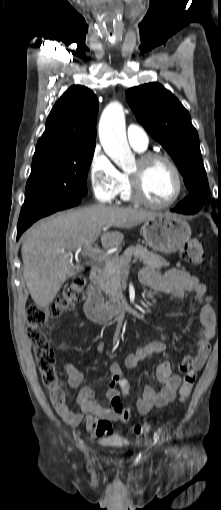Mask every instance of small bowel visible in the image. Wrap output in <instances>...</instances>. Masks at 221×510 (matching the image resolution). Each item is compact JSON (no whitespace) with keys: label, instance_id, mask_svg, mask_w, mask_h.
I'll return each mask as SVG.
<instances>
[{"label":"small bowel","instance_id":"c3829d8e","mask_svg":"<svg viewBox=\"0 0 221 510\" xmlns=\"http://www.w3.org/2000/svg\"><path fill=\"white\" fill-rule=\"evenodd\" d=\"M140 280L145 286L156 291H169L175 299L185 293H193L200 306L199 329L194 339L193 347L178 366L180 374L201 369L210 352V341L215 334V314L211 306V298L207 295V287L196 276L187 271L170 268L160 272L152 267H145L140 272ZM103 343L97 344V350H103ZM167 345L161 341H153L139 347L128 354L123 366L134 369L138 363L154 354L165 353ZM63 371L67 374V383L70 388H77L83 382V374L71 363L62 359ZM123 366L114 363L110 367L111 380L103 389L106 398L111 399L120 393H127L130 385L123 373ZM173 374L169 362H162L155 369V379L162 385L156 390L151 384L144 387L143 394L136 402V409L140 415H147L152 408H161L175 399L177 389L181 383V375ZM80 412H73L66 404L58 410L62 419L70 426H78L85 416L86 430L92 437L105 438L111 434V424L121 419L120 412L115 407H105L96 398V391L89 387H82L76 397ZM129 410V409H128ZM130 412V410H129Z\"/></svg>","mask_w":221,"mask_h":510}]
</instances>
